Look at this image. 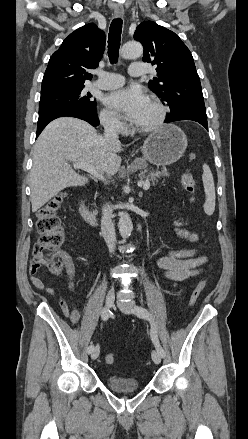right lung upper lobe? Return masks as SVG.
Segmentation results:
<instances>
[{"mask_svg": "<svg viewBox=\"0 0 248 439\" xmlns=\"http://www.w3.org/2000/svg\"><path fill=\"white\" fill-rule=\"evenodd\" d=\"M104 47L105 33L93 23L72 32L50 57L41 95L84 86L92 78L87 70L98 66Z\"/></svg>", "mask_w": 248, "mask_h": 439, "instance_id": "right-lung-upper-lobe-1", "label": "right lung upper lobe"}]
</instances>
